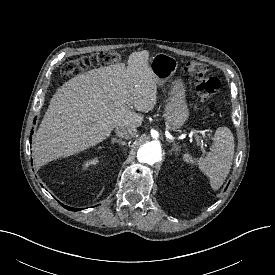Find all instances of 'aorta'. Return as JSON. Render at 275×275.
<instances>
[{"label":"aorta","mask_w":275,"mask_h":275,"mask_svg":"<svg viewBox=\"0 0 275 275\" xmlns=\"http://www.w3.org/2000/svg\"><path fill=\"white\" fill-rule=\"evenodd\" d=\"M137 159L140 163L153 165L161 160V147L156 142H148L140 146L137 152Z\"/></svg>","instance_id":"obj_1"}]
</instances>
